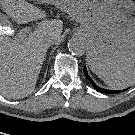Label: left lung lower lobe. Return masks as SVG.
Returning <instances> with one entry per match:
<instances>
[{"label":"left lung lower lobe","instance_id":"0a47b994","mask_svg":"<svg viewBox=\"0 0 135 135\" xmlns=\"http://www.w3.org/2000/svg\"><path fill=\"white\" fill-rule=\"evenodd\" d=\"M84 74L86 76V78L90 81V83L92 84V86L100 93H105V94H117V93H120L122 91H125V90H122V91H115V90H107V89H104V88H100L99 86H97L93 80L90 78V76L88 75L87 73V69L86 67L84 68Z\"/></svg>","mask_w":135,"mask_h":135}]
</instances>
